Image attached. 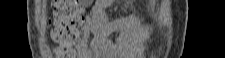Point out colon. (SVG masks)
<instances>
[{"label":"colon","mask_w":225,"mask_h":58,"mask_svg":"<svg viewBox=\"0 0 225 58\" xmlns=\"http://www.w3.org/2000/svg\"><path fill=\"white\" fill-rule=\"evenodd\" d=\"M88 1H54V18L50 20V34L58 44L55 52L58 58H74L73 45L79 38L84 5Z\"/></svg>","instance_id":"5ec220e1"}]
</instances>
